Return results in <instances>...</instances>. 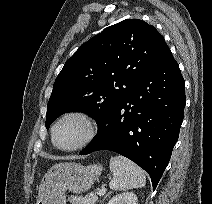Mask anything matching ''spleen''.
Segmentation results:
<instances>
[{"mask_svg":"<svg viewBox=\"0 0 212 204\" xmlns=\"http://www.w3.org/2000/svg\"><path fill=\"white\" fill-rule=\"evenodd\" d=\"M110 170L113 173L109 186L115 191L142 188L146 185L144 171L131 160L117 155L110 159Z\"/></svg>","mask_w":212,"mask_h":204,"instance_id":"spleen-1","label":"spleen"}]
</instances>
